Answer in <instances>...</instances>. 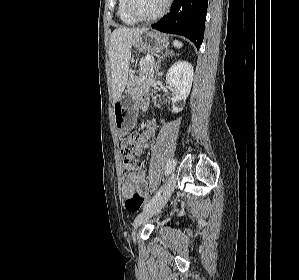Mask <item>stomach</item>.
I'll list each match as a JSON object with an SVG mask.
<instances>
[{
  "instance_id": "stomach-1",
  "label": "stomach",
  "mask_w": 299,
  "mask_h": 280,
  "mask_svg": "<svg viewBox=\"0 0 299 280\" xmlns=\"http://www.w3.org/2000/svg\"><path fill=\"white\" fill-rule=\"evenodd\" d=\"M168 45V39L159 32L146 31L133 42V46L139 52H160ZM134 99L132 96H122L114 104L113 111L115 123L121 130L130 129L134 125Z\"/></svg>"
}]
</instances>
